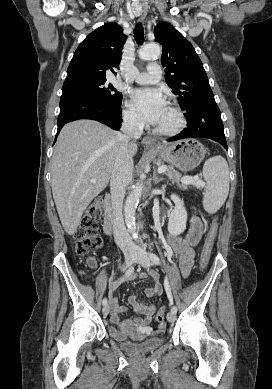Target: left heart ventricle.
I'll list each match as a JSON object with an SVG mask.
<instances>
[{
    "mask_svg": "<svg viewBox=\"0 0 272 389\" xmlns=\"http://www.w3.org/2000/svg\"><path fill=\"white\" fill-rule=\"evenodd\" d=\"M175 120H176L175 114L168 106H166L160 120L156 124V127L169 128V127L173 126V124L175 123Z\"/></svg>",
    "mask_w": 272,
    "mask_h": 389,
    "instance_id": "left-heart-ventricle-1",
    "label": "left heart ventricle"
}]
</instances>
